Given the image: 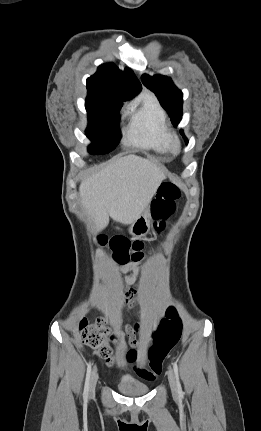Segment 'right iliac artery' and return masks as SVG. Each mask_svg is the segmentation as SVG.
Wrapping results in <instances>:
<instances>
[{"mask_svg": "<svg viewBox=\"0 0 261 431\" xmlns=\"http://www.w3.org/2000/svg\"><path fill=\"white\" fill-rule=\"evenodd\" d=\"M91 367H92V363L90 362L87 367L86 380H85V386H84V392H83V398L85 400L87 399L89 394Z\"/></svg>", "mask_w": 261, "mask_h": 431, "instance_id": "1", "label": "right iliac artery"}]
</instances>
